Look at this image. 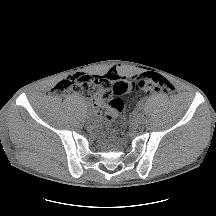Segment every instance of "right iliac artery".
<instances>
[{
	"label": "right iliac artery",
	"mask_w": 216,
	"mask_h": 216,
	"mask_svg": "<svg viewBox=\"0 0 216 216\" xmlns=\"http://www.w3.org/2000/svg\"><path fill=\"white\" fill-rule=\"evenodd\" d=\"M84 111H85V114H90V109L86 108Z\"/></svg>",
	"instance_id": "obj_1"
}]
</instances>
